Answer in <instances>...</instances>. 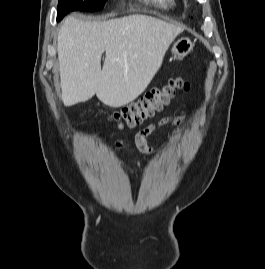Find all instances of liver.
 <instances>
[{
  "instance_id": "1",
  "label": "liver",
  "mask_w": 265,
  "mask_h": 269,
  "mask_svg": "<svg viewBox=\"0 0 265 269\" xmlns=\"http://www.w3.org/2000/svg\"><path fill=\"white\" fill-rule=\"evenodd\" d=\"M183 30L141 14L98 22L67 17L57 44L64 105L85 102L95 94L114 108L134 101L150 84L170 44Z\"/></svg>"
}]
</instances>
